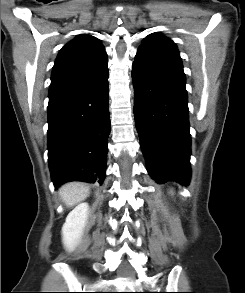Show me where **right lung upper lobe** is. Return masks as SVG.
<instances>
[{
	"label": "right lung upper lobe",
	"mask_w": 245,
	"mask_h": 293,
	"mask_svg": "<svg viewBox=\"0 0 245 293\" xmlns=\"http://www.w3.org/2000/svg\"><path fill=\"white\" fill-rule=\"evenodd\" d=\"M107 65V54L101 42L91 35H78L58 54L51 75L49 98L99 76L108 70Z\"/></svg>",
	"instance_id": "1"
}]
</instances>
